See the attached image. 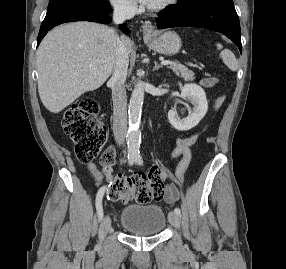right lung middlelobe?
<instances>
[{
	"mask_svg": "<svg viewBox=\"0 0 286 269\" xmlns=\"http://www.w3.org/2000/svg\"><path fill=\"white\" fill-rule=\"evenodd\" d=\"M74 6H88L101 11H109L108 0H50L47 14L54 13Z\"/></svg>",
	"mask_w": 286,
	"mask_h": 269,
	"instance_id": "right-lung-middle-lobe-1",
	"label": "right lung middle lobe"
}]
</instances>
